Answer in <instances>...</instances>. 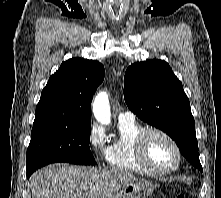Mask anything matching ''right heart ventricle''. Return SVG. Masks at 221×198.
I'll return each mask as SVG.
<instances>
[{
    "mask_svg": "<svg viewBox=\"0 0 221 198\" xmlns=\"http://www.w3.org/2000/svg\"><path fill=\"white\" fill-rule=\"evenodd\" d=\"M144 129L135 120L119 121L118 136L108 147L107 162L112 168L135 173H150L139 163L135 149L136 139Z\"/></svg>",
    "mask_w": 221,
    "mask_h": 198,
    "instance_id": "obj_1",
    "label": "right heart ventricle"
}]
</instances>
